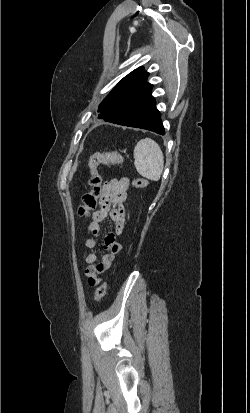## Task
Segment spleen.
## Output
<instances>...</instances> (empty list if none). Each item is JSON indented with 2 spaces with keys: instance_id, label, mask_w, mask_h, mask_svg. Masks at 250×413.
Returning a JSON list of instances; mask_svg holds the SVG:
<instances>
[{
  "instance_id": "3e777b00",
  "label": "spleen",
  "mask_w": 250,
  "mask_h": 413,
  "mask_svg": "<svg viewBox=\"0 0 250 413\" xmlns=\"http://www.w3.org/2000/svg\"><path fill=\"white\" fill-rule=\"evenodd\" d=\"M134 159V166L141 176L152 181L160 179L164 168V156L154 140H140L134 148Z\"/></svg>"
}]
</instances>
